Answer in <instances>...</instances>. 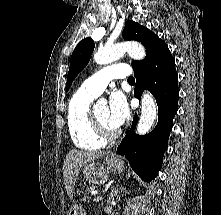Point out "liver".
<instances>
[{
    "instance_id": "1",
    "label": "liver",
    "mask_w": 221,
    "mask_h": 215,
    "mask_svg": "<svg viewBox=\"0 0 221 215\" xmlns=\"http://www.w3.org/2000/svg\"><path fill=\"white\" fill-rule=\"evenodd\" d=\"M106 152L70 150L66 155L63 165V177L65 189L68 196L72 199L75 182L80 168L89 162L103 157Z\"/></svg>"
}]
</instances>
